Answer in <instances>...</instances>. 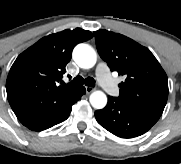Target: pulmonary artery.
Instances as JSON below:
<instances>
[{
  "label": "pulmonary artery",
  "mask_w": 181,
  "mask_h": 164,
  "mask_svg": "<svg viewBox=\"0 0 181 164\" xmlns=\"http://www.w3.org/2000/svg\"><path fill=\"white\" fill-rule=\"evenodd\" d=\"M97 76H98V80H99L101 86L103 87V89L109 93H112L113 92V84H112L110 78L108 77V75L106 74L105 67H99L98 68Z\"/></svg>",
  "instance_id": "1"
}]
</instances>
